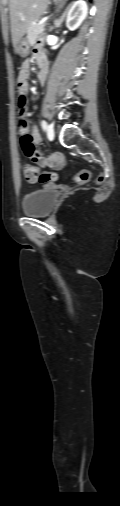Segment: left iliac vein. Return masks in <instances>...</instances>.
Returning <instances> with one entry per match:
<instances>
[{
    "instance_id": "4c4485c4",
    "label": "left iliac vein",
    "mask_w": 120,
    "mask_h": 506,
    "mask_svg": "<svg viewBox=\"0 0 120 506\" xmlns=\"http://www.w3.org/2000/svg\"><path fill=\"white\" fill-rule=\"evenodd\" d=\"M47 136H48L49 139H53L54 136H55L54 127L51 124L48 125V127H47Z\"/></svg>"
}]
</instances>
